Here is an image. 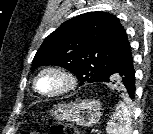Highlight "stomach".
Returning a JSON list of instances; mask_svg holds the SVG:
<instances>
[{
    "label": "stomach",
    "instance_id": "stomach-1",
    "mask_svg": "<svg viewBox=\"0 0 153 134\" xmlns=\"http://www.w3.org/2000/svg\"><path fill=\"white\" fill-rule=\"evenodd\" d=\"M103 115L102 106L98 101L84 100L66 107H57L52 110V116L58 120L75 122L79 126L92 127Z\"/></svg>",
    "mask_w": 153,
    "mask_h": 134
}]
</instances>
